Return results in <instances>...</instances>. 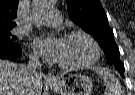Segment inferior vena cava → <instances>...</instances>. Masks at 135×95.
<instances>
[{
	"label": "inferior vena cava",
	"instance_id": "inferior-vena-cava-1",
	"mask_svg": "<svg viewBox=\"0 0 135 95\" xmlns=\"http://www.w3.org/2000/svg\"><path fill=\"white\" fill-rule=\"evenodd\" d=\"M39 66H40L39 58L36 55H30L29 63L27 66H25L26 74L30 79H33L35 76L39 74L37 71Z\"/></svg>",
	"mask_w": 135,
	"mask_h": 95
}]
</instances>
